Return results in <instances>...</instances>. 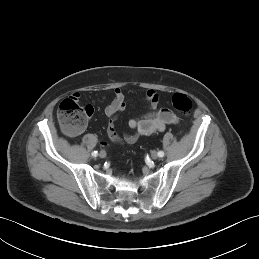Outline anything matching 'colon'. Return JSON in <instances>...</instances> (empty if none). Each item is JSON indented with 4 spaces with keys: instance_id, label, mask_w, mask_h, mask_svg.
Wrapping results in <instances>:
<instances>
[{
    "instance_id": "colon-1",
    "label": "colon",
    "mask_w": 259,
    "mask_h": 259,
    "mask_svg": "<svg viewBox=\"0 0 259 259\" xmlns=\"http://www.w3.org/2000/svg\"><path fill=\"white\" fill-rule=\"evenodd\" d=\"M172 106L177 112L187 115L192 109V101L187 95L176 93L172 98ZM91 113L92 110L88 105H84L76 97L70 96L60 102L57 118L67 133L77 134L84 129Z\"/></svg>"
}]
</instances>
